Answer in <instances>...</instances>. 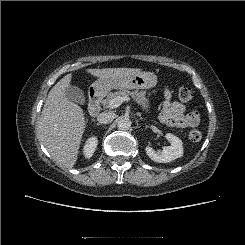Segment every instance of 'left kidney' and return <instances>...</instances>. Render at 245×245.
<instances>
[{"mask_svg": "<svg viewBox=\"0 0 245 245\" xmlns=\"http://www.w3.org/2000/svg\"><path fill=\"white\" fill-rule=\"evenodd\" d=\"M166 139L171 145L163 148L162 151H155L152 147L146 146V154L155 162L168 163L183 156L182 141L175 135L167 133Z\"/></svg>", "mask_w": 245, "mask_h": 245, "instance_id": "left-kidney-1", "label": "left kidney"}]
</instances>
